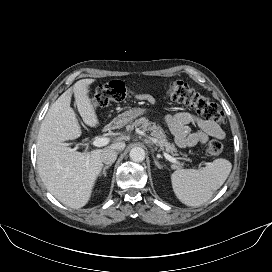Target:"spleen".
<instances>
[{"label":"spleen","instance_id":"3e777b00","mask_svg":"<svg viewBox=\"0 0 272 272\" xmlns=\"http://www.w3.org/2000/svg\"><path fill=\"white\" fill-rule=\"evenodd\" d=\"M232 169L230 161L215 159L203 169H179L171 175L173 191L185 205L198 207L211 199L226 181Z\"/></svg>","mask_w":272,"mask_h":272}]
</instances>
